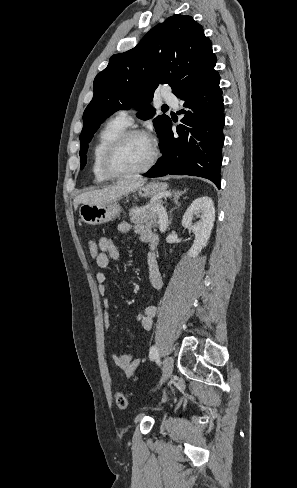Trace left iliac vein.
Instances as JSON below:
<instances>
[{"label":"left iliac vein","mask_w":297,"mask_h":488,"mask_svg":"<svg viewBox=\"0 0 297 488\" xmlns=\"http://www.w3.org/2000/svg\"><path fill=\"white\" fill-rule=\"evenodd\" d=\"M173 367H174V364H173L172 358L169 356L165 357V359L163 361V371H162V377H161L160 384L165 382L170 377V375L172 374V371H173Z\"/></svg>","instance_id":"left-iliac-vein-1"}]
</instances>
